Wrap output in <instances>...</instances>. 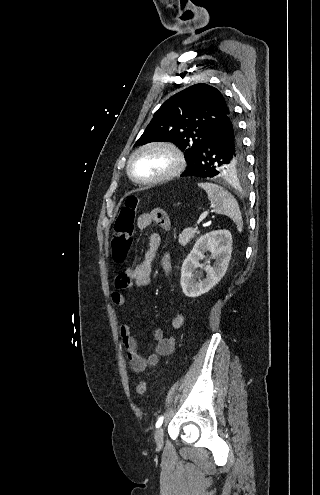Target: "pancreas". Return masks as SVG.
Listing matches in <instances>:
<instances>
[{"mask_svg": "<svg viewBox=\"0 0 320 495\" xmlns=\"http://www.w3.org/2000/svg\"><path fill=\"white\" fill-rule=\"evenodd\" d=\"M199 234V231L197 228H186L184 231L179 235L178 241L181 246L187 245L191 239L195 237V235Z\"/></svg>", "mask_w": 320, "mask_h": 495, "instance_id": "pancreas-1", "label": "pancreas"}]
</instances>
